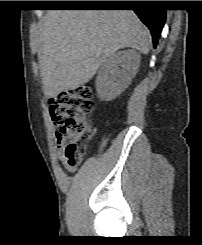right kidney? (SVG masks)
I'll return each instance as SVG.
<instances>
[{"instance_id":"obj_1","label":"right kidney","mask_w":202,"mask_h":245,"mask_svg":"<svg viewBox=\"0 0 202 245\" xmlns=\"http://www.w3.org/2000/svg\"><path fill=\"white\" fill-rule=\"evenodd\" d=\"M141 56L134 50L119 51L111 55L100 67L96 90L101 100L110 101L130 84L140 66Z\"/></svg>"}]
</instances>
